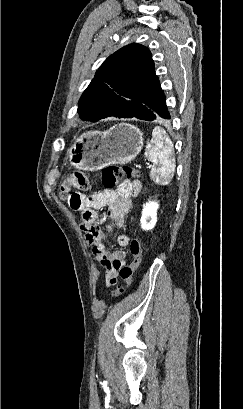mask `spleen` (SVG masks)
<instances>
[{
	"label": "spleen",
	"instance_id": "spleen-1",
	"mask_svg": "<svg viewBox=\"0 0 243 409\" xmlns=\"http://www.w3.org/2000/svg\"><path fill=\"white\" fill-rule=\"evenodd\" d=\"M173 143L166 131L156 126L152 139L147 141L145 156L153 163L150 178L156 184L167 185L175 172V159L172 154Z\"/></svg>",
	"mask_w": 243,
	"mask_h": 409
}]
</instances>
